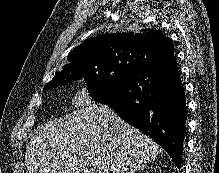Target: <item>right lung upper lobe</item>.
Segmentation results:
<instances>
[{"label": "right lung upper lobe", "mask_w": 219, "mask_h": 173, "mask_svg": "<svg viewBox=\"0 0 219 173\" xmlns=\"http://www.w3.org/2000/svg\"><path fill=\"white\" fill-rule=\"evenodd\" d=\"M70 64L45 86L52 84L64 72L85 75L101 67L117 63L138 66L151 59L170 62L174 58L173 42L159 30L146 29L143 33L99 34L84 41L68 55Z\"/></svg>", "instance_id": "cb5924a9"}]
</instances>
